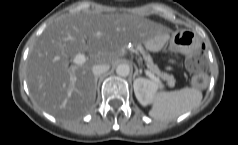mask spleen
Masks as SVG:
<instances>
[{"mask_svg": "<svg viewBox=\"0 0 238 145\" xmlns=\"http://www.w3.org/2000/svg\"><path fill=\"white\" fill-rule=\"evenodd\" d=\"M202 97V92L192 87H185L177 91H160L153 98L149 115L161 121L175 119L198 107Z\"/></svg>", "mask_w": 238, "mask_h": 145, "instance_id": "1", "label": "spleen"}]
</instances>
